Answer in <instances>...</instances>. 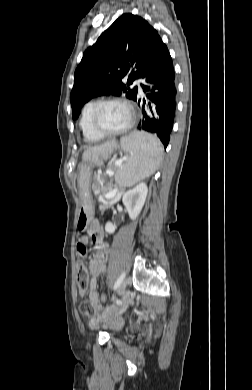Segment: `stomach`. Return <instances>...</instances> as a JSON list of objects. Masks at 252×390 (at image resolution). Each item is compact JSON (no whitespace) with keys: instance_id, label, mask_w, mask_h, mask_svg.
Masks as SVG:
<instances>
[{"instance_id":"0dacf381","label":"stomach","mask_w":252,"mask_h":390,"mask_svg":"<svg viewBox=\"0 0 252 390\" xmlns=\"http://www.w3.org/2000/svg\"><path fill=\"white\" fill-rule=\"evenodd\" d=\"M116 148L117 144L111 142L104 148L87 150L83 155L78 180L81 199V207L77 219L78 226L85 227L89 225L94 217V206L90 194L92 170L94 167L102 166L103 162L110 157Z\"/></svg>"}]
</instances>
